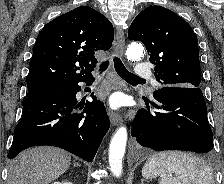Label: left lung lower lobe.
<instances>
[{"instance_id": "obj_1", "label": "left lung lower lobe", "mask_w": 224, "mask_h": 184, "mask_svg": "<svg viewBox=\"0 0 224 184\" xmlns=\"http://www.w3.org/2000/svg\"><path fill=\"white\" fill-rule=\"evenodd\" d=\"M153 97L156 111L139 110L132 126L131 134L141 146L197 153L213 149V134L199 87L163 86Z\"/></svg>"}]
</instances>
